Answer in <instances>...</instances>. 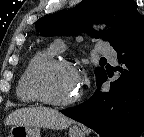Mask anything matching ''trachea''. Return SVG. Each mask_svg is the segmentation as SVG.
Segmentation results:
<instances>
[{
  "instance_id": "trachea-1",
  "label": "trachea",
  "mask_w": 144,
  "mask_h": 137,
  "mask_svg": "<svg viewBox=\"0 0 144 137\" xmlns=\"http://www.w3.org/2000/svg\"><path fill=\"white\" fill-rule=\"evenodd\" d=\"M101 61H106V58H101Z\"/></svg>"
}]
</instances>
